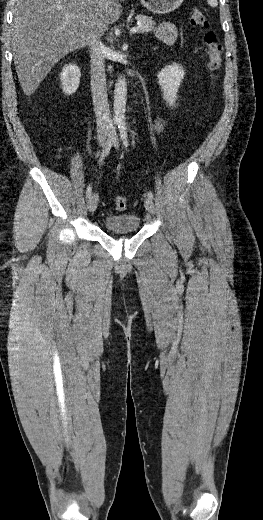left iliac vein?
Instances as JSON below:
<instances>
[{"mask_svg":"<svg viewBox=\"0 0 263 520\" xmlns=\"http://www.w3.org/2000/svg\"><path fill=\"white\" fill-rule=\"evenodd\" d=\"M112 144L115 148H118L119 146V140H118V137L116 135V132H113V140H112ZM144 205H145V208L146 210L150 213V214H154L155 212V206H154V203L152 201L151 198L147 197L144 201Z\"/></svg>","mask_w":263,"mask_h":520,"instance_id":"4c4485c4","label":"left iliac vein"}]
</instances>
